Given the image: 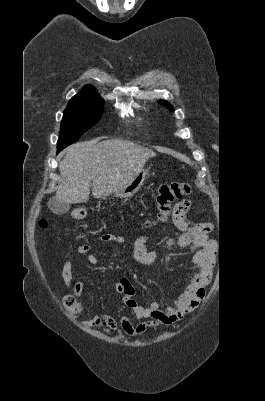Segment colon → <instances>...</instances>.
<instances>
[{"instance_id": "1", "label": "colon", "mask_w": 265, "mask_h": 401, "mask_svg": "<svg viewBox=\"0 0 265 401\" xmlns=\"http://www.w3.org/2000/svg\"><path fill=\"white\" fill-rule=\"evenodd\" d=\"M191 192V187L186 182H173L168 184H163L160 186L157 196V220L159 222H165L171 211V204L175 200H179L189 195ZM86 216V211L83 208H75L72 210L70 217L74 221L82 220ZM40 226L45 228L47 222L45 220L40 221ZM64 305L67 310L76 314L80 310L79 303L71 296H66L64 298Z\"/></svg>"}]
</instances>
